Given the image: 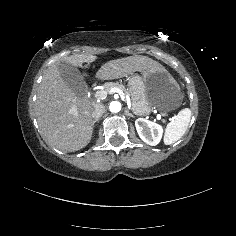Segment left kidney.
I'll list each match as a JSON object with an SVG mask.
<instances>
[{
  "label": "left kidney",
  "instance_id": "1",
  "mask_svg": "<svg viewBox=\"0 0 236 236\" xmlns=\"http://www.w3.org/2000/svg\"><path fill=\"white\" fill-rule=\"evenodd\" d=\"M135 126L140 138L146 144L156 146L160 143L164 133L163 125L139 117L136 119Z\"/></svg>",
  "mask_w": 236,
  "mask_h": 236
}]
</instances>
